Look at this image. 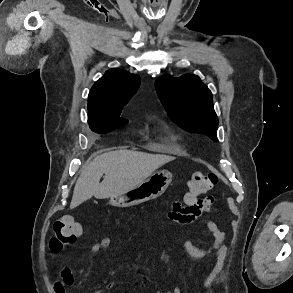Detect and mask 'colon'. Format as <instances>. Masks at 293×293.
<instances>
[{
    "label": "colon",
    "instance_id": "obj_1",
    "mask_svg": "<svg viewBox=\"0 0 293 293\" xmlns=\"http://www.w3.org/2000/svg\"><path fill=\"white\" fill-rule=\"evenodd\" d=\"M218 181L215 173L195 172L187 183L185 205L190 207L206 192L211 190ZM54 234L50 239L49 248L53 253H59L76 241L83 231V226L70 216L58 218L53 224Z\"/></svg>",
    "mask_w": 293,
    "mask_h": 293
}]
</instances>
